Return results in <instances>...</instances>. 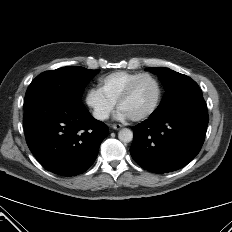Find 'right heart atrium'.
Segmentation results:
<instances>
[{
  "instance_id": "d8ad5b80",
  "label": "right heart atrium",
  "mask_w": 232,
  "mask_h": 232,
  "mask_svg": "<svg viewBox=\"0 0 232 232\" xmlns=\"http://www.w3.org/2000/svg\"><path fill=\"white\" fill-rule=\"evenodd\" d=\"M85 103L92 116L98 121H106L112 114L115 104L110 102L102 92L95 87H91L85 94Z\"/></svg>"
}]
</instances>
